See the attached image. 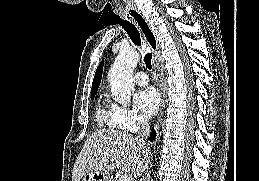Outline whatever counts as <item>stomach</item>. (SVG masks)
Returning a JSON list of instances; mask_svg holds the SVG:
<instances>
[{
    "label": "stomach",
    "mask_w": 259,
    "mask_h": 181,
    "mask_svg": "<svg viewBox=\"0 0 259 181\" xmlns=\"http://www.w3.org/2000/svg\"><path fill=\"white\" fill-rule=\"evenodd\" d=\"M82 181H111L108 172L100 171V170H92L87 172Z\"/></svg>",
    "instance_id": "obj_1"
}]
</instances>
